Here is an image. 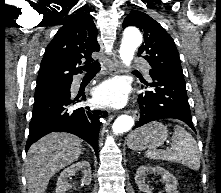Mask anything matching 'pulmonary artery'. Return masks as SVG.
<instances>
[{
  "instance_id": "obj_1",
  "label": "pulmonary artery",
  "mask_w": 221,
  "mask_h": 193,
  "mask_svg": "<svg viewBox=\"0 0 221 193\" xmlns=\"http://www.w3.org/2000/svg\"><path fill=\"white\" fill-rule=\"evenodd\" d=\"M134 62L140 66V68L142 69V71L145 73V74H149V70H150V67L148 64L144 63L143 60L141 59H135ZM79 83V79H76L74 81V84L77 85Z\"/></svg>"
}]
</instances>
